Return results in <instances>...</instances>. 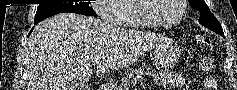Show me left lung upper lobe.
Returning <instances> with one entry per match:
<instances>
[{
  "instance_id": "obj_1",
  "label": "left lung upper lobe",
  "mask_w": 237,
  "mask_h": 90,
  "mask_svg": "<svg viewBox=\"0 0 237 90\" xmlns=\"http://www.w3.org/2000/svg\"><path fill=\"white\" fill-rule=\"evenodd\" d=\"M189 4L200 12L199 23L208 29L224 36L222 27L215 16L210 12L204 0H189Z\"/></svg>"
}]
</instances>
